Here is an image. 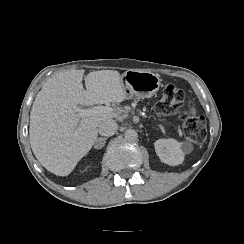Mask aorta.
Wrapping results in <instances>:
<instances>
[{"instance_id": "762f6f07", "label": "aorta", "mask_w": 244, "mask_h": 244, "mask_svg": "<svg viewBox=\"0 0 244 244\" xmlns=\"http://www.w3.org/2000/svg\"><path fill=\"white\" fill-rule=\"evenodd\" d=\"M124 137L127 141H135L138 138V134L133 129H128L124 133Z\"/></svg>"}]
</instances>
